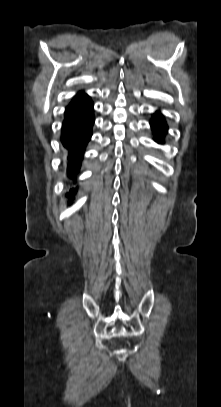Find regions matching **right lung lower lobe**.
Wrapping results in <instances>:
<instances>
[{
	"instance_id": "98d812e1",
	"label": "right lung lower lobe",
	"mask_w": 221,
	"mask_h": 407,
	"mask_svg": "<svg viewBox=\"0 0 221 407\" xmlns=\"http://www.w3.org/2000/svg\"><path fill=\"white\" fill-rule=\"evenodd\" d=\"M94 123L93 102L84 93H78L65 111L61 141L68 150V175L74 177L79 171L84 149L92 136ZM75 189L67 194L71 197Z\"/></svg>"
}]
</instances>
